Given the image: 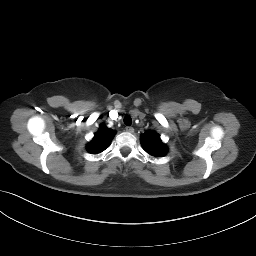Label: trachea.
I'll return each mask as SVG.
<instances>
[{"label":"trachea","instance_id":"obj_1","mask_svg":"<svg viewBox=\"0 0 256 256\" xmlns=\"http://www.w3.org/2000/svg\"><path fill=\"white\" fill-rule=\"evenodd\" d=\"M124 123H125V125H127V126H130L131 124H132V119H131V117L130 116H125L124 117Z\"/></svg>","mask_w":256,"mask_h":256}]
</instances>
